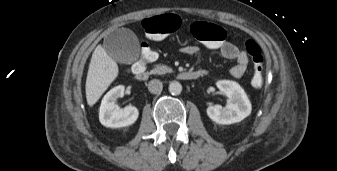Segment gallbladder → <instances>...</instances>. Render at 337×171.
<instances>
[{
    "mask_svg": "<svg viewBox=\"0 0 337 171\" xmlns=\"http://www.w3.org/2000/svg\"><path fill=\"white\" fill-rule=\"evenodd\" d=\"M104 48L117 62L130 64L139 56V42L135 34L124 28L116 29L104 39Z\"/></svg>",
    "mask_w": 337,
    "mask_h": 171,
    "instance_id": "1",
    "label": "gallbladder"
}]
</instances>
